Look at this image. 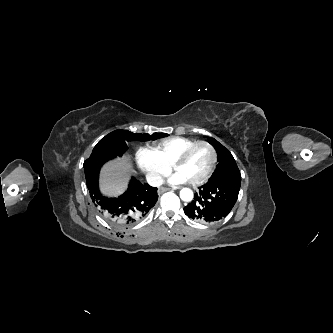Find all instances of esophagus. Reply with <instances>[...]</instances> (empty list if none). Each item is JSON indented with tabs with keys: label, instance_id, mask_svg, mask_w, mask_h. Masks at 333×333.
Returning a JSON list of instances; mask_svg holds the SVG:
<instances>
[{
	"label": "esophagus",
	"instance_id": "obj_1",
	"mask_svg": "<svg viewBox=\"0 0 333 333\" xmlns=\"http://www.w3.org/2000/svg\"><path fill=\"white\" fill-rule=\"evenodd\" d=\"M169 190H171V189L170 188H166V187H162V188L159 189L158 193L162 194V193H164L166 191H169Z\"/></svg>",
	"mask_w": 333,
	"mask_h": 333
}]
</instances>
